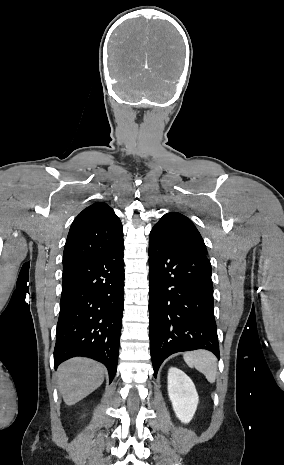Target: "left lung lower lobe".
<instances>
[{
    "label": "left lung lower lobe",
    "mask_w": 284,
    "mask_h": 465,
    "mask_svg": "<svg viewBox=\"0 0 284 465\" xmlns=\"http://www.w3.org/2000/svg\"><path fill=\"white\" fill-rule=\"evenodd\" d=\"M149 331L156 377L171 354L206 349L219 358L207 255L150 233Z\"/></svg>",
    "instance_id": "1"
}]
</instances>
